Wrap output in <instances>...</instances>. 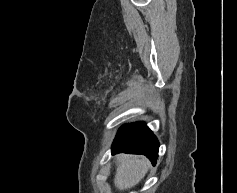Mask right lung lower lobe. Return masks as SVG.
Instances as JSON below:
<instances>
[{"label":"right lung lower lobe","instance_id":"obj_1","mask_svg":"<svg viewBox=\"0 0 237 193\" xmlns=\"http://www.w3.org/2000/svg\"><path fill=\"white\" fill-rule=\"evenodd\" d=\"M159 142L144 122L126 124L120 128L113 143L114 153L142 154L153 165L158 157Z\"/></svg>","mask_w":237,"mask_h":193}]
</instances>
